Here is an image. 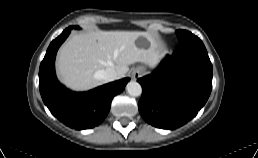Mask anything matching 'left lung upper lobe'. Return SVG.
Listing matches in <instances>:
<instances>
[{
  "instance_id": "obj_1",
  "label": "left lung upper lobe",
  "mask_w": 258,
  "mask_h": 158,
  "mask_svg": "<svg viewBox=\"0 0 258 158\" xmlns=\"http://www.w3.org/2000/svg\"><path fill=\"white\" fill-rule=\"evenodd\" d=\"M176 34H177V37H178V40L180 43L185 41L186 39H188L190 36L193 35L191 32L186 31V30H177Z\"/></svg>"
}]
</instances>
